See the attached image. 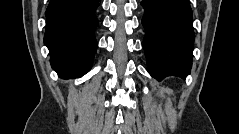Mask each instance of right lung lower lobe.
<instances>
[{"label": "right lung lower lobe", "instance_id": "obj_1", "mask_svg": "<svg viewBox=\"0 0 239 134\" xmlns=\"http://www.w3.org/2000/svg\"><path fill=\"white\" fill-rule=\"evenodd\" d=\"M98 6V0L50 1L44 43L59 76L81 77L90 70L97 49Z\"/></svg>", "mask_w": 239, "mask_h": 134}]
</instances>
